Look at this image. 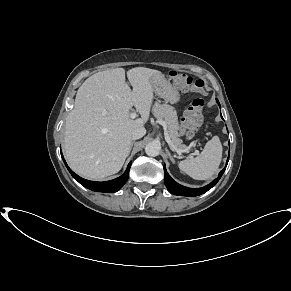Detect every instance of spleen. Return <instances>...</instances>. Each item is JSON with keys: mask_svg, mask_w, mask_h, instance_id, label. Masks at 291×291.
<instances>
[{"mask_svg": "<svg viewBox=\"0 0 291 291\" xmlns=\"http://www.w3.org/2000/svg\"><path fill=\"white\" fill-rule=\"evenodd\" d=\"M221 159L222 145L219 137L214 136L206 143L199 156L180 161L178 166L195 180H207L217 172Z\"/></svg>", "mask_w": 291, "mask_h": 291, "instance_id": "obj_1", "label": "spleen"}]
</instances>
